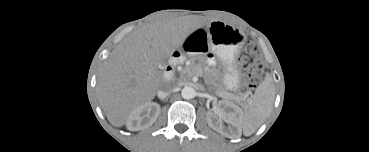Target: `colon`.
Masks as SVG:
<instances>
[{"label": "colon", "instance_id": "obj_1", "mask_svg": "<svg viewBox=\"0 0 369 152\" xmlns=\"http://www.w3.org/2000/svg\"><path fill=\"white\" fill-rule=\"evenodd\" d=\"M240 64L244 70V77L248 87H255L264 73V65L260 53L252 45L240 56Z\"/></svg>", "mask_w": 369, "mask_h": 152}]
</instances>
